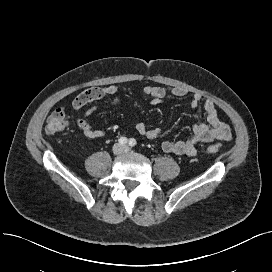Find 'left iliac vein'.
<instances>
[{
  "mask_svg": "<svg viewBox=\"0 0 272 272\" xmlns=\"http://www.w3.org/2000/svg\"><path fill=\"white\" fill-rule=\"evenodd\" d=\"M124 151L127 152V151H128V148H127V147H124Z\"/></svg>",
  "mask_w": 272,
  "mask_h": 272,
  "instance_id": "obj_1",
  "label": "left iliac vein"
}]
</instances>
